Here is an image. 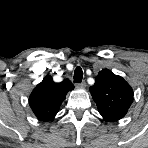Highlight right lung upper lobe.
Here are the masks:
<instances>
[{"instance_id": "right-lung-upper-lobe-1", "label": "right lung upper lobe", "mask_w": 148, "mask_h": 148, "mask_svg": "<svg viewBox=\"0 0 148 148\" xmlns=\"http://www.w3.org/2000/svg\"><path fill=\"white\" fill-rule=\"evenodd\" d=\"M73 89L74 85L70 80L55 83L52 76L47 75L33 89L29 97V105L39 120L51 121L58 113L67 92Z\"/></svg>"}]
</instances>
